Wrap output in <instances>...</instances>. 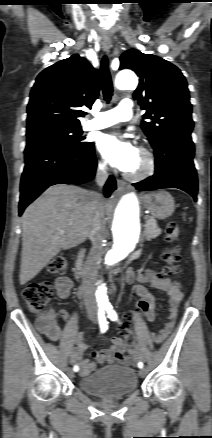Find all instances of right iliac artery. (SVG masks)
Instances as JSON below:
<instances>
[{"mask_svg":"<svg viewBox=\"0 0 212 438\" xmlns=\"http://www.w3.org/2000/svg\"><path fill=\"white\" fill-rule=\"evenodd\" d=\"M98 320H99L100 330L102 333H104L108 329V322L106 321V317H105V309L103 308L99 309ZM73 370L77 372L79 371V367L75 365L73 367Z\"/></svg>","mask_w":212,"mask_h":438,"instance_id":"1","label":"right iliac artery"}]
</instances>
